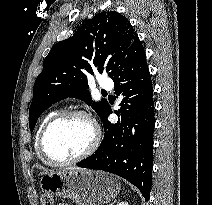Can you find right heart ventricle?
Wrapping results in <instances>:
<instances>
[{"label":"right heart ventricle","instance_id":"1","mask_svg":"<svg viewBox=\"0 0 212 205\" xmlns=\"http://www.w3.org/2000/svg\"><path fill=\"white\" fill-rule=\"evenodd\" d=\"M57 113H58L57 111H51L50 113H48V114L46 115V117L43 119V121L41 122V124H40V126H39V128H38V131H37V133H36V139H35V148H36V151H37L38 155L40 156V158H41L45 163H48V164H50V163L47 162V161L43 158V156L41 155V153H40V151H39V147H38V138H39V134H40L42 128H43L44 125L47 123V121H48L49 119H51V118H52L54 115H56Z\"/></svg>","mask_w":212,"mask_h":205}]
</instances>
